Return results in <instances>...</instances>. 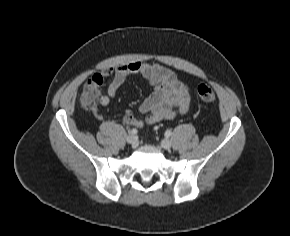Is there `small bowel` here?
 Returning <instances> with one entry per match:
<instances>
[{
	"label": "small bowel",
	"instance_id": "obj_1",
	"mask_svg": "<svg viewBox=\"0 0 290 236\" xmlns=\"http://www.w3.org/2000/svg\"><path fill=\"white\" fill-rule=\"evenodd\" d=\"M133 75H141L147 79L153 85L154 91L140 105V112L146 115L144 120L139 121L133 112L125 111L123 121L127 126L155 124L188 111L191 97L187 84L164 66L140 62L109 67L92 76V80L100 82V85L105 79L111 78L106 94L99 97V105L107 107L128 77Z\"/></svg>",
	"mask_w": 290,
	"mask_h": 236
}]
</instances>
